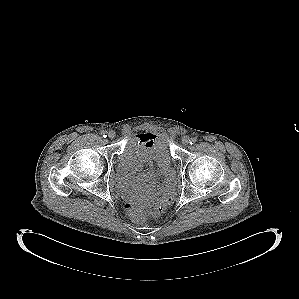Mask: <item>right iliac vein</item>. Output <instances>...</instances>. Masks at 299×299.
<instances>
[{"label": "right iliac vein", "instance_id": "63e3f726", "mask_svg": "<svg viewBox=\"0 0 299 299\" xmlns=\"http://www.w3.org/2000/svg\"><path fill=\"white\" fill-rule=\"evenodd\" d=\"M115 136H116V134L114 131H109V133H108L109 138L113 139Z\"/></svg>", "mask_w": 299, "mask_h": 299}]
</instances>
